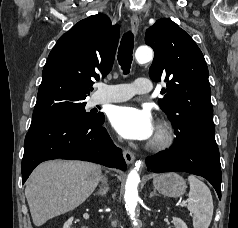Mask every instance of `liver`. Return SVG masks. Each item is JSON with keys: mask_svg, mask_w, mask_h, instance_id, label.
I'll return each mask as SVG.
<instances>
[{"mask_svg": "<svg viewBox=\"0 0 238 228\" xmlns=\"http://www.w3.org/2000/svg\"><path fill=\"white\" fill-rule=\"evenodd\" d=\"M100 174L99 165L83 161L54 160L36 167L25 188L34 225L82 204L95 190Z\"/></svg>", "mask_w": 238, "mask_h": 228, "instance_id": "6515ba94", "label": "liver"}]
</instances>
